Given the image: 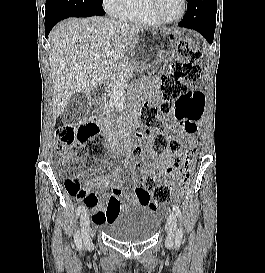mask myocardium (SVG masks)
<instances>
[{
	"mask_svg": "<svg viewBox=\"0 0 265 273\" xmlns=\"http://www.w3.org/2000/svg\"><path fill=\"white\" fill-rule=\"evenodd\" d=\"M158 5H159V0H149V7H150L151 13L153 14L154 18L161 24L177 23L180 20H182L183 17L187 13V7H188L187 0H182V12L175 19H166V18H164L159 12Z\"/></svg>",
	"mask_w": 265,
	"mask_h": 273,
	"instance_id": "1",
	"label": "myocardium"
}]
</instances>
